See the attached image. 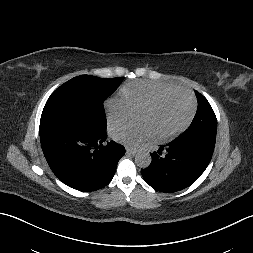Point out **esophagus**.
<instances>
[{"mask_svg":"<svg viewBox=\"0 0 253 253\" xmlns=\"http://www.w3.org/2000/svg\"><path fill=\"white\" fill-rule=\"evenodd\" d=\"M126 152H127V154L135 155L136 154V149L126 148Z\"/></svg>","mask_w":253,"mask_h":253,"instance_id":"esophagus-1","label":"esophagus"}]
</instances>
